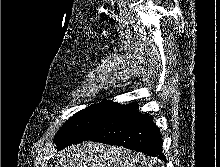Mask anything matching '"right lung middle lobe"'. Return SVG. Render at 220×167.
Here are the masks:
<instances>
[{
    "instance_id": "right-lung-middle-lobe-1",
    "label": "right lung middle lobe",
    "mask_w": 220,
    "mask_h": 167,
    "mask_svg": "<svg viewBox=\"0 0 220 167\" xmlns=\"http://www.w3.org/2000/svg\"><path fill=\"white\" fill-rule=\"evenodd\" d=\"M114 102L105 101L93 104L67 120L55 137L58 150L67 145L84 141L101 123L113 106Z\"/></svg>"
}]
</instances>
